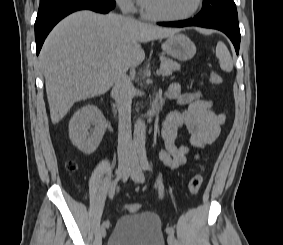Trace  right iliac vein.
Returning a JSON list of instances; mask_svg holds the SVG:
<instances>
[{"instance_id": "63e3f726", "label": "right iliac vein", "mask_w": 283, "mask_h": 245, "mask_svg": "<svg viewBox=\"0 0 283 245\" xmlns=\"http://www.w3.org/2000/svg\"><path fill=\"white\" fill-rule=\"evenodd\" d=\"M129 163H130L129 157H122V158L119 159L118 168H117V171H116L118 178H121L125 174L127 166L129 165ZM106 228H107V226L102 225L101 229H100V235L103 238L106 236Z\"/></svg>"}]
</instances>
